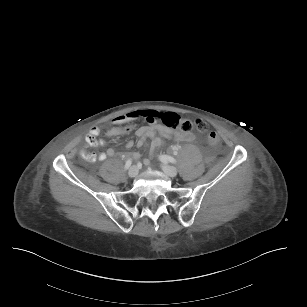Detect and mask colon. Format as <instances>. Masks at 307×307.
I'll use <instances>...</instances> for the list:
<instances>
[{
  "label": "colon",
  "mask_w": 307,
  "mask_h": 307,
  "mask_svg": "<svg viewBox=\"0 0 307 307\" xmlns=\"http://www.w3.org/2000/svg\"><path fill=\"white\" fill-rule=\"evenodd\" d=\"M158 120L180 133H188L196 129L198 132L207 135L211 145H216L219 141L218 134L215 131L208 130L207 124L202 119H184L176 113H164L158 116Z\"/></svg>",
  "instance_id": "colon-1"
}]
</instances>
